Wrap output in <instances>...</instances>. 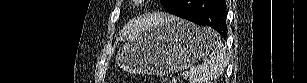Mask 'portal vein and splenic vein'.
<instances>
[{
    "instance_id": "obj_1",
    "label": "portal vein and splenic vein",
    "mask_w": 307,
    "mask_h": 83,
    "mask_svg": "<svg viewBox=\"0 0 307 83\" xmlns=\"http://www.w3.org/2000/svg\"><path fill=\"white\" fill-rule=\"evenodd\" d=\"M182 76L184 77V78H186L187 76H188V72H184L183 74H182Z\"/></svg>"
}]
</instances>
